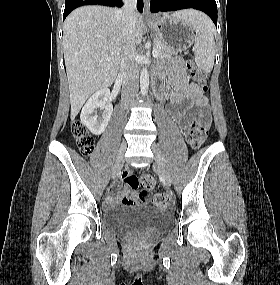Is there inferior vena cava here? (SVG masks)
<instances>
[{"label":"inferior vena cava","mask_w":280,"mask_h":285,"mask_svg":"<svg viewBox=\"0 0 280 285\" xmlns=\"http://www.w3.org/2000/svg\"><path fill=\"white\" fill-rule=\"evenodd\" d=\"M137 0H123L121 10L124 24V48L120 61L121 74L123 75L122 102L127 106L132 102L138 91L139 69L136 62V46L134 37L135 10Z\"/></svg>","instance_id":"obj_1"}]
</instances>
